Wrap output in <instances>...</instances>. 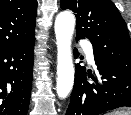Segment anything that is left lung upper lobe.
<instances>
[{"label":"left lung upper lobe","instance_id":"1","mask_svg":"<svg viewBox=\"0 0 131 115\" xmlns=\"http://www.w3.org/2000/svg\"><path fill=\"white\" fill-rule=\"evenodd\" d=\"M61 8L76 16L78 38H88L94 53L131 71V41L127 26L111 0H61Z\"/></svg>","mask_w":131,"mask_h":115}]
</instances>
